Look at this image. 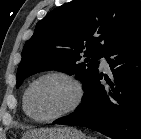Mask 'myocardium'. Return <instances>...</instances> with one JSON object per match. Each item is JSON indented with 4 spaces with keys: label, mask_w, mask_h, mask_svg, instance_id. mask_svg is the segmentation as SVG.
<instances>
[{
    "label": "myocardium",
    "mask_w": 141,
    "mask_h": 139,
    "mask_svg": "<svg viewBox=\"0 0 141 139\" xmlns=\"http://www.w3.org/2000/svg\"><path fill=\"white\" fill-rule=\"evenodd\" d=\"M50 77H57L64 79L68 81L73 89H74V98L71 104L65 108L63 111L59 112L58 114L48 117V118H39L36 117L30 110L29 106V97L32 89L34 86L41 80L45 78H50ZM85 95V89L82 84V82L74 75L64 72V71H48L45 72L41 75H39L37 78H35L28 86V88L25 91L24 98H23V106L26 114L34 121L40 122V123H49L53 122L55 120H58L62 117H65L71 113H73L75 110L78 109V107L81 105Z\"/></svg>",
    "instance_id": "1"
}]
</instances>
